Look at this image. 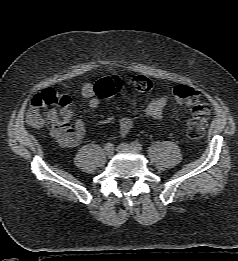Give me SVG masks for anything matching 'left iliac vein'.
<instances>
[{
    "instance_id": "left-iliac-vein-1",
    "label": "left iliac vein",
    "mask_w": 238,
    "mask_h": 261,
    "mask_svg": "<svg viewBox=\"0 0 238 261\" xmlns=\"http://www.w3.org/2000/svg\"><path fill=\"white\" fill-rule=\"evenodd\" d=\"M117 150H118V151H127V150H132V151H134L135 148H134L131 144L122 143V144L118 145Z\"/></svg>"
}]
</instances>
